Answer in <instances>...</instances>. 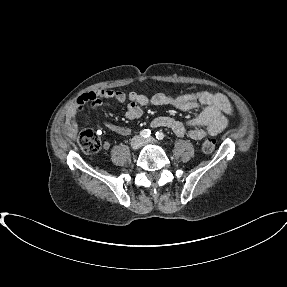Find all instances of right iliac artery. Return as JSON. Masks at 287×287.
<instances>
[{"mask_svg":"<svg viewBox=\"0 0 287 287\" xmlns=\"http://www.w3.org/2000/svg\"><path fill=\"white\" fill-rule=\"evenodd\" d=\"M151 135V131L149 129H144L140 132V136L141 137H144V138H147Z\"/></svg>","mask_w":287,"mask_h":287,"instance_id":"1","label":"right iliac artery"}]
</instances>
